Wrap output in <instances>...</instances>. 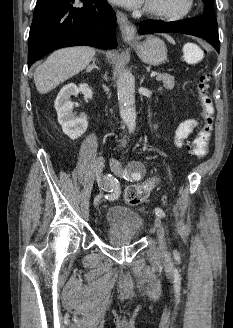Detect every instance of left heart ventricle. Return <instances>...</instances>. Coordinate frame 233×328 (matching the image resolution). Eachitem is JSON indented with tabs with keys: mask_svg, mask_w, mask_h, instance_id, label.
Wrapping results in <instances>:
<instances>
[{
	"mask_svg": "<svg viewBox=\"0 0 233 328\" xmlns=\"http://www.w3.org/2000/svg\"><path fill=\"white\" fill-rule=\"evenodd\" d=\"M183 4L184 0H148L146 3L151 8L168 12L179 11L183 7Z\"/></svg>",
	"mask_w": 233,
	"mask_h": 328,
	"instance_id": "obj_1",
	"label": "left heart ventricle"
}]
</instances>
